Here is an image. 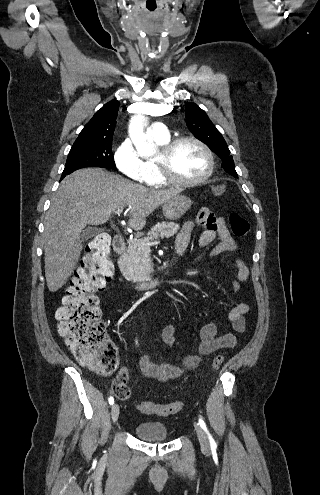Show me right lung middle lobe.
Returning <instances> with one entry per match:
<instances>
[{
  "mask_svg": "<svg viewBox=\"0 0 320 495\" xmlns=\"http://www.w3.org/2000/svg\"><path fill=\"white\" fill-rule=\"evenodd\" d=\"M85 167L116 169L112 144H74L69 152L61 178Z\"/></svg>",
  "mask_w": 320,
  "mask_h": 495,
  "instance_id": "1",
  "label": "right lung middle lobe"
}]
</instances>
